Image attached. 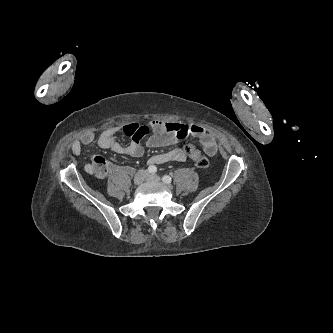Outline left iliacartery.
Listing matches in <instances>:
<instances>
[{
    "instance_id": "left-iliac-artery-1",
    "label": "left iliac artery",
    "mask_w": 333,
    "mask_h": 333,
    "mask_svg": "<svg viewBox=\"0 0 333 333\" xmlns=\"http://www.w3.org/2000/svg\"><path fill=\"white\" fill-rule=\"evenodd\" d=\"M162 180H163V182L166 183V184H170L171 181H172L171 177L168 176V175H164V176L162 177Z\"/></svg>"
}]
</instances>
